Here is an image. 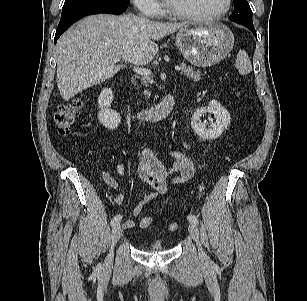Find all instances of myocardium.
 Wrapping results in <instances>:
<instances>
[{
	"mask_svg": "<svg viewBox=\"0 0 307 301\" xmlns=\"http://www.w3.org/2000/svg\"><path fill=\"white\" fill-rule=\"evenodd\" d=\"M233 0H226V5L225 7L216 13L212 14H191V13H185L183 11H180L168 3L166 4V11L169 15L172 17L186 20V21H210V20H216L219 19L223 16H225L231 9L232 7Z\"/></svg>",
	"mask_w": 307,
	"mask_h": 301,
	"instance_id": "myocardium-1",
	"label": "myocardium"
}]
</instances>
